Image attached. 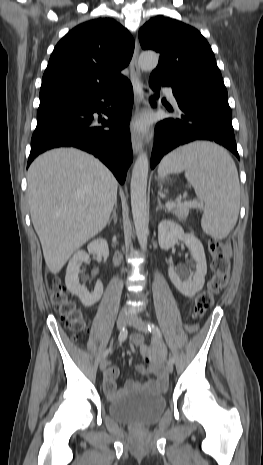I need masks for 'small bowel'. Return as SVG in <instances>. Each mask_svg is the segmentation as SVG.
Instances as JSON below:
<instances>
[{"label": "small bowel", "instance_id": "obj_1", "mask_svg": "<svg viewBox=\"0 0 263 465\" xmlns=\"http://www.w3.org/2000/svg\"><path fill=\"white\" fill-rule=\"evenodd\" d=\"M201 327L202 322H195V325L187 324L184 328L187 334H197ZM131 345L139 348L145 362V364H139L137 366L138 371L141 374H153L155 378L148 380L144 384H141L136 380H130L126 383L123 389L119 390L116 385V379L119 376V369L116 366L110 365L107 367L103 378L104 390L110 398H115L125 389L141 385L147 389L156 391L164 390L167 386L168 378L162 365V361L165 356V350L162 344L159 341H154L151 346H147L145 345L142 336L136 334L131 337Z\"/></svg>", "mask_w": 263, "mask_h": 465}]
</instances>
